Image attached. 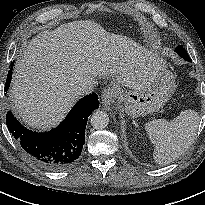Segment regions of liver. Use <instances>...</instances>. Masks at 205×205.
<instances>
[{"label": "liver", "instance_id": "obj_1", "mask_svg": "<svg viewBox=\"0 0 205 205\" xmlns=\"http://www.w3.org/2000/svg\"><path fill=\"white\" fill-rule=\"evenodd\" d=\"M92 20L63 24L34 37L14 67L12 109L29 127L57 125L74 105L73 87L87 78L119 74L117 83L141 90L151 85L163 59Z\"/></svg>", "mask_w": 205, "mask_h": 205}]
</instances>
